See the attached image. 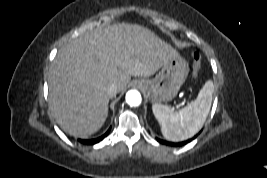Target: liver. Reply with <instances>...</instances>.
Returning <instances> with one entry per match:
<instances>
[{
	"mask_svg": "<svg viewBox=\"0 0 267 178\" xmlns=\"http://www.w3.org/2000/svg\"><path fill=\"white\" fill-rule=\"evenodd\" d=\"M175 54L168 43L136 24H113L83 33L65 44L51 64V113L65 132L87 138L107 118L109 84L121 92L131 76L149 77Z\"/></svg>",
	"mask_w": 267,
	"mask_h": 178,
	"instance_id": "liver-1",
	"label": "liver"
}]
</instances>
